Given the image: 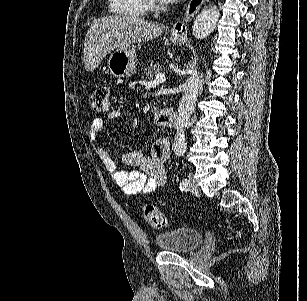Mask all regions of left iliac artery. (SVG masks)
I'll return each mask as SVG.
<instances>
[{"mask_svg": "<svg viewBox=\"0 0 307 301\" xmlns=\"http://www.w3.org/2000/svg\"><path fill=\"white\" fill-rule=\"evenodd\" d=\"M189 184H190V182H189L188 179H183V180L180 182V187H179L180 190H181V191L187 190Z\"/></svg>", "mask_w": 307, "mask_h": 301, "instance_id": "left-iliac-artery-1", "label": "left iliac artery"}]
</instances>
